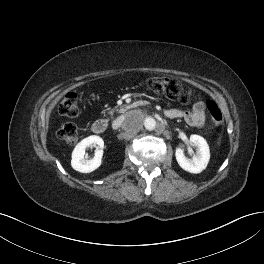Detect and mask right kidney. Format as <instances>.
Returning a JSON list of instances; mask_svg holds the SVG:
<instances>
[{
	"instance_id": "obj_1",
	"label": "right kidney",
	"mask_w": 264,
	"mask_h": 264,
	"mask_svg": "<svg viewBox=\"0 0 264 264\" xmlns=\"http://www.w3.org/2000/svg\"><path fill=\"white\" fill-rule=\"evenodd\" d=\"M96 147L95 156L88 160L84 158L87 147ZM104 141L101 137L92 135L80 141L72 152L71 166L81 173H90L101 165Z\"/></svg>"
}]
</instances>
